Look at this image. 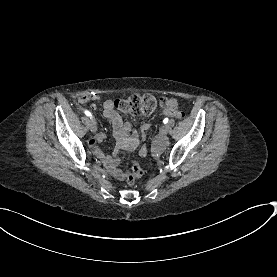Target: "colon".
<instances>
[{"mask_svg": "<svg viewBox=\"0 0 277 277\" xmlns=\"http://www.w3.org/2000/svg\"><path fill=\"white\" fill-rule=\"evenodd\" d=\"M113 102L123 114L129 113L135 116L153 113L158 109L165 108L167 104L162 97H156L152 94L135 95L128 99L116 98ZM178 118H182L181 113H178ZM140 173V167L134 165L132 172L127 175L128 183L133 184Z\"/></svg>", "mask_w": 277, "mask_h": 277, "instance_id": "obj_1", "label": "colon"}]
</instances>
